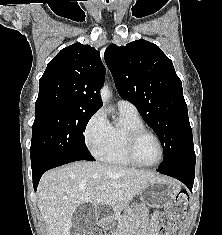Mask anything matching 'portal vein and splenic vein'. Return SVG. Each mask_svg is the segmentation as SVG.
<instances>
[{"instance_id":"obj_1","label":"portal vein and splenic vein","mask_w":222,"mask_h":235,"mask_svg":"<svg viewBox=\"0 0 222 235\" xmlns=\"http://www.w3.org/2000/svg\"><path fill=\"white\" fill-rule=\"evenodd\" d=\"M106 188V185L97 186L96 190H103Z\"/></svg>"}]
</instances>
